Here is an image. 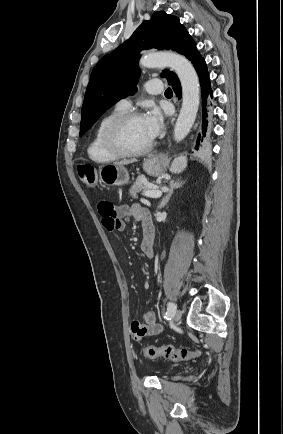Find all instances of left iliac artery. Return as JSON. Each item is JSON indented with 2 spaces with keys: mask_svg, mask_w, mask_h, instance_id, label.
I'll list each match as a JSON object with an SVG mask.
<instances>
[{
  "mask_svg": "<svg viewBox=\"0 0 283 434\" xmlns=\"http://www.w3.org/2000/svg\"><path fill=\"white\" fill-rule=\"evenodd\" d=\"M175 311H176V305L172 302H168L167 311L164 315V318H166V319L171 318L174 315Z\"/></svg>",
  "mask_w": 283,
  "mask_h": 434,
  "instance_id": "1",
  "label": "left iliac artery"
}]
</instances>
